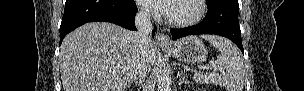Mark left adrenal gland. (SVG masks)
Listing matches in <instances>:
<instances>
[{
    "label": "left adrenal gland",
    "mask_w": 304,
    "mask_h": 91,
    "mask_svg": "<svg viewBox=\"0 0 304 91\" xmlns=\"http://www.w3.org/2000/svg\"><path fill=\"white\" fill-rule=\"evenodd\" d=\"M178 77H179V81H178V84H179V85L190 83V82L185 78V74H184L183 71H181V72L178 74Z\"/></svg>",
    "instance_id": "1"
}]
</instances>
